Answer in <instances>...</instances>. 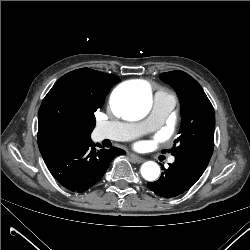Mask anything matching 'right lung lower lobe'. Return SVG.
<instances>
[{
    "label": "right lung lower lobe",
    "mask_w": 250,
    "mask_h": 250,
    "mask_svg": "<svg viewBox=\"0 0 250 250\" xmlns=\"http://www.w3.org/2000/svg\"><path fill=\"white\" fill-rule=\"evenodd\" d=\"M40 152L53 177L70 191L78 193L98 182L115 156L125 154L115 147L97 151L90 137L50 145Z\"/></svg>",
    "instance_id": "obj_1"
}]
</instances>
